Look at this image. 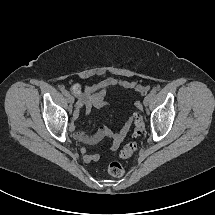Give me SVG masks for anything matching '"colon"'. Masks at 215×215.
I'll list each match as a JSON object with an SVG mask.
<instances>
[{
  "instance_id": "5ec220e1",
  "label": "colon",
  "mask_w": 215,
  "mask_h": 215,
  "mask_svg": "<svg viewBox=\"0 0 215 215\" xmlns=\"http://www.w3.org/2000/svg\"><path fill=\"white\" fill-rule=\"evenodd\" d=\"M77 87L75 86L74 89ZM145 129V124L143 121V117L139 114L136 113L134 115V128H133V135L134 137L140 136ZM137 149V144L135 142H128L126 143L120 150L119 152V157L121 159H126L131 157ZM108 173L111 176L114 177H120L124 174V168L121 165V163L117 161H113L108 165Z\"/></svg>"
}]
</instances>
